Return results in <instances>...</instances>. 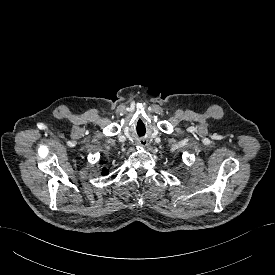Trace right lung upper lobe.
<instances>
[{
  "label": "right lung upper lobe",
  "mask_w": 275,
  "mask_h": 275,
  "mask_svg": "<svg viewBox=\"0 0 275 275\" xmlns=\"http://www.w3.org/2000/svg\"><path fill=\"white\" fill-rule=\"evenodd\" d=\"M101 164H104V162H103V161H101ZM107 173H108L107 169H106V168H103V170H102V174H103V175H105V174H107Z\"/></svg>",
  "instance_id": "cb5924a9"
}]
</instances>
